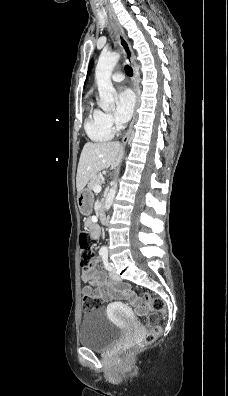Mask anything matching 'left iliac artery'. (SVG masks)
<instances>
[{"instance_id":"1","label":"left iliac artery","mask_w":228,"mask_h":396,"mask_svg":"<svg viewBox=\"0 0 228 396\" xmlns=\"http://www.w3.org/2000/svg\"><path fill=\"white\" fill-rule=\"evenodd\" d=\"M101 256H102V260H103L105 268L110 271L111 270V266H110V263L108 261V254L106 252H104Z\"/></svg>"}]
</instances>
